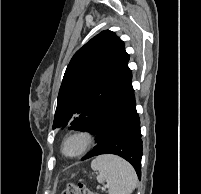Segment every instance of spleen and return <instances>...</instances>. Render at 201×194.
<instances>
[{
	"mask_svg": "<svg viewBox=\"0 0 201 194\" xmlns=\"http://www.w3.org/2000/svg\"><path fill=\"white\" fill-rule=\"evenodd\" d=\"M91 168L98 171L97 181L107 182L109 194H131L137 185L134 168L116 155H100L91 162Z\"/></svg>",
	"mask_w": 201,
	"mask_h": 194,
	"instance_id": "obj_1",
	"label": "spleen"
}]
</instances>
